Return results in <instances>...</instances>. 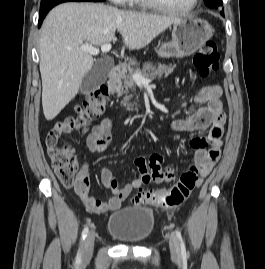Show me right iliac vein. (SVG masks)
Here are the masks:
<instances>
[{
	"label": "right iliac vein",
	"instance_id": "63e3f726",
	"mask_svg": "<svg viewBox=\"0 0 265 269\" xmlns=\"http://www.w3.org/2000/svg\"><path fill=\"white\" fill-rule=\"evenodd\" d=\"M94 241H95V232L91 231L87 234L86 239H85L83 253H82L83 261H88L92 257Z\"/></svg>",
	"mask_w": 265,
	"mask_h": 269
}]
</instances>
